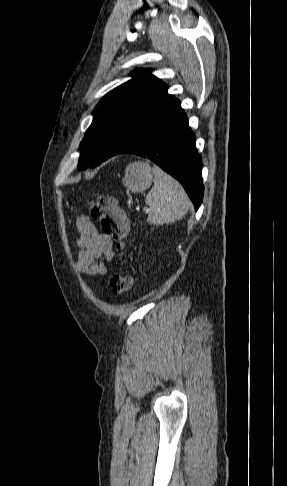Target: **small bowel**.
Here are the masks:
<instances>
[{
	"label": "small bowel",
	"mask_w": 287,
	"mask_h": 486,
	"mask_svg": "<svg viewBox=\"0 0 287 486\" xmlns=\"http://www.w3.org/2000/svg\"><path fill=\"white\" fill-rule=\"evenodd\" d=\"M78 256L76 270L87 277H101L108 272L107 263L115 256L112 238L100 233L88 216L76 219Z\"/></svg>",
	"instance_id": "1"
}]
</instances>
